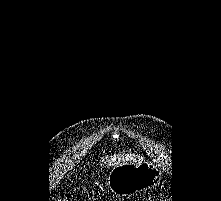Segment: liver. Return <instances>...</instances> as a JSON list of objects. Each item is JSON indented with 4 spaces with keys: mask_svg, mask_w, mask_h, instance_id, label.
Listing matches in <instances>:
<instances>
[{
    "mask_svg": "<svg viewBox=\"0 0 221 201\" xmlns=\"http://www.w3.org/2000/svg\"><path fill=\"white\" fill-rule=\"evenodd\" d=\"M138 158L139 157L134 154H117L111 157H107L105 159V163H107L110 166H117L128 162H138L137 161Z\"/></svg>",
    "mask_w": 221,
    "mask_h": 201,
    "instance_id": "liver-1",
    "label": "liver"
}]
</instances>
